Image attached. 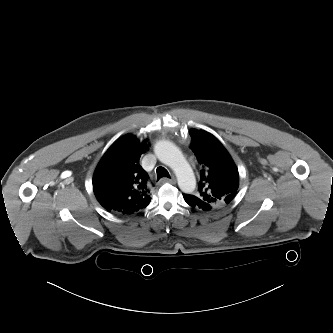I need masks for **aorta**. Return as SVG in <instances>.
I'll list each match as a JSON object with an SVG mask.
<instances>
[{
	"instance_id": "aorta-1",
	"label": "aorta",
	"mask_w": 333,
	"mask_h": 333,
	"mask_svg": "<svg viewBox=\"0 0 333 333\" xmlns=\"http://www.w3.org/2000/svg\"><path fill=\"white\" fill-rule=\"evenodd\" d=\"M154 152L162 163L175 172L181 191L192 193L196 188L195 175L179 148L170 141L161 140L156 143Z\"/></svg>"
}]
</instances>
